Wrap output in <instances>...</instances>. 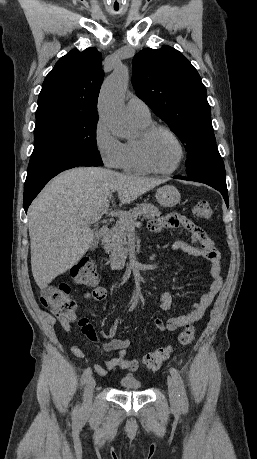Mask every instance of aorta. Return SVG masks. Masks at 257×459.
<instances>
[{
    "mask_svg": "<svg viewBox=\"0 0 257 459\" xmlns=\"http://www.w3.org/2000/svg\"><path fill=\"white\" fill-rule=\"evenodd\" d=\"M128 83V69L125 66H118L104 81L98 104L103 123L108 126L113 135L122 139H130L134 136L133 124L123 106Z\"/></svg>",
    "mask_w": 257,
    "mask_h": 459,
    "instance_id": "1",
    "label": "aorta"
}]
</instances>
